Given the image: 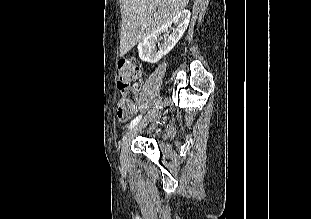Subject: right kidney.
Instances as JSON below:
<instances>
[{
  "instance_id": "1",
  "label": "right kidney",
  "mask_w": 311,
  "mask_h": 219,
  "mask_svg": "<svg viewBox=\"0 0 311 219\" xmlns=\"http://www.w3.org/2000/svg\"><path fill=\"white\" fill-rule=\"evenodd\" d=\"M190 21V11L183 10L165 25L149 34L138 44L139 57L148 63H157L164 55L168 54L181 39ZM174 24L171 35L166 34L168 27ZM161 33L164 34V42L160 44L159 50L155 49L156 42Z\"/></svg>"
}]
</instances>
